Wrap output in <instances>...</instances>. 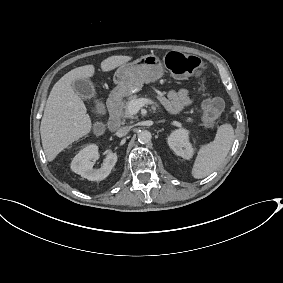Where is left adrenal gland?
Segmentation results:
<instances>
[{
  "mask_svg": "<svg viewBox=\"0 0 283 283\" xmlns=\"http://www.w3.org/2000/svg\"><path fill=\"white\" fill-rule=\"evenodd\" d=\"M165 120H161V121H157L156 123L159 124V123H164Z\"/></svg>",
  "mask_w": 283,
  "mask_h": 283,
  "instance_id": "left-adrenal-gland-1",
  "label": "left adrenal gland"
}]
</instances>
